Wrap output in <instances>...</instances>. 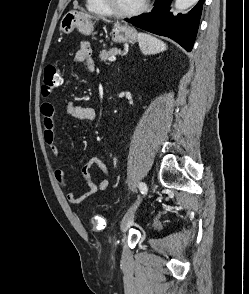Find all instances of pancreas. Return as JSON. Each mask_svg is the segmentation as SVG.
Returning a JSON list of instances; mask_svg holds the SVG:
<instances>
[{
  "label": "pancreas",
  "instance_id": "obj_1",
  "mask_svg": "<svg viewBox=\"0 0 249 294\" xmlns=\"http://www.w3.org/2000/svg\"><path fill=\"white\" fill-rule=\"evenodd\" d=\"M118 52V50L116 48H112L109 50H102L99 54V59L101 61L106 62V60L110 57V56H114L116 55Z\"/></svg>",
  "mask_w": 249,
  "mask_h": 294
}]
</instances>
